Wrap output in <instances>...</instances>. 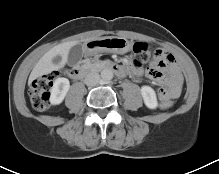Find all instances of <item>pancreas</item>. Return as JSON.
I'll use <instances>...</instances> for the list:
<instances>
[{"label": "pancreas", "mask_w": 219, "mask_h": 174, "mask_svg": "<svg viewBox=\"0 0 219 174\" xmlns=\"http://www.w3.org/2000/svg\"><path fill=\"white\" fill-rule=\"evenodd\" d=\"M90 65H91L92 67H96V66L98 65V62H97V61H92V63H90Z\"/></svg>", "instance_id": "obj_1"}]
</instances>
